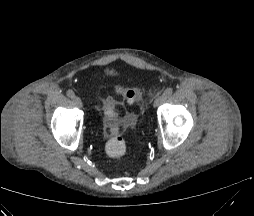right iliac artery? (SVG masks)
<instances>
[{"label": "right iliac artery", "instance_id": "right-iliac-artery-1", "mask_svg": "<svg viewBox=\"0 0 254 216\" xmlns=\"http://www.w3.org/2000/svg\"><path fill=\"white\" fill-rule=\"evenodd\" d=\"M67 96L70 97V98H74L75 97V94L72 90H68L67 91Z\"/></svg>", "mask_w": 254, "mask_h": 216}]
</instances>
